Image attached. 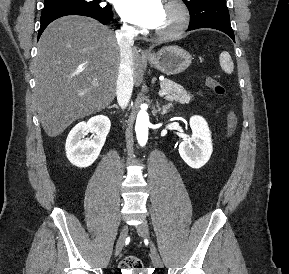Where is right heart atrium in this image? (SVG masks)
Segmentation results:
<instances>
[{"label": "right heart atrium", "instance_id": "d8ad5b80", "mask_svg": "<svg viewBox=\"0 0 289 274\" xmlns=\"http://www.w3.org/2000/svg\"><path fill=\"white\" fill-rule=\"evenodd\" d=\"M122 28L126 32H133L134 31V28L124 21L122 22Z\"/></svg>", "mask_w": 289, "mask_h": 274}]
</instances>
